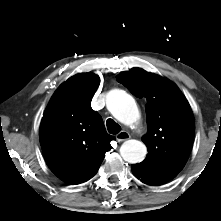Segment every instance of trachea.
Segmentation results:
<instances>
[{"mask_svg": "<svg viewBox=\"0 0 221 221\" xmlns=\"http://www.w3.org/2000/svg\"><path fill=\"white\" fill-rule=\"evenodd\" d=\"M106 125L110 134H118L121 131V127L111 118L107 119Z\"/></svg>", "mask_w": 221, "mask_h": 221, "instance_id": "trachea-1", "label": "trachea"}]
</instances>
